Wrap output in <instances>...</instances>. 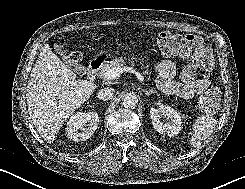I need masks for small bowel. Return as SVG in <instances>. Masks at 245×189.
<instances>
[{
    "instance_id": "1",
    "label": "small bowel",
    "mask_w": 245,
    "mask_h": 189,
    "mask_svg": "<svg viewBox=\"0 0 245 189\" xmlns=\"http://www.w3.org/2000/svg\"><path fill=\"white\" fill-rule=\"evenodd\" d=\"M155 69L158 72L156 81L157 86L162 92L168 95H176L183 99H191L201 95L208 89L209 82L206 79L191 85H183L174 81L173 78L176 73V67L171 61H161L156 65Z\"/></svg>"
}]
</instances>
